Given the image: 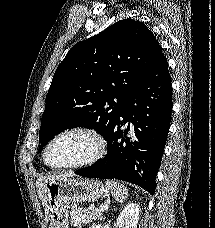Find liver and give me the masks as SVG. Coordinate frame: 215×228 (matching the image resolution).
<instances>
[{
    "label": "liver",
    "mask_w": 215,
    "mask_h": 228,
    "mask_svg": "<svg viewBox=\"0 0 215 228\" xmlns=\"http://www.w3.org/2000/svg\"><path fill=\"white\" fill-rule=\"evenodd\" d=\"M62 178H69V176H40V178L36 180L37 194L44 206L47 222H48L47 200H46L47 184H52V182H57V180H62Z\"/></svg>",
    "instance_id": "1"
}]
</instances>
